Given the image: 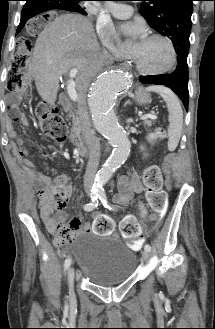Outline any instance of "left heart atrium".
I'll list each match as a JSON object with an SVG mask.
<instances>
[{
    "label": "left heart atrium",
    "instance_id": "1",
    "mask_svg": "<svg viewBox=\"0 0 215 329\" xmlns=\"http://www.w3.org/2000/svg\"><path fill=\"white\" fill-rule=\"evenodd\" d=\"M122 31L127 35L136 36L138 38V44H142L148 39L146 28L144 24L139 21L124 24L122 26Z\"/></svg>",
    "mask_w": 215,
    "mask_h": 329
}]
</instances>
